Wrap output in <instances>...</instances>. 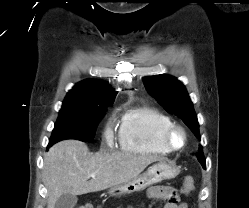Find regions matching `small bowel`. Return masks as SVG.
<instances>
[{
  "instance_id": "small-bowel-1",
  "label": "small bowel",
  "mask_w": 249,
  "mask_h": 208,
  "mask_svg": "<svg viewBox=\"0 0 249 208\" xmlns=\"http://www.w3.org/2000/svg\"><path fill=\"white\" fill-rule=\"evenodd\" d=\"M151 198L165 200L164 208H187L185 203L180 202L176 189L170 186H152L148 190Z\"/></svg>"
}]
</instances>
